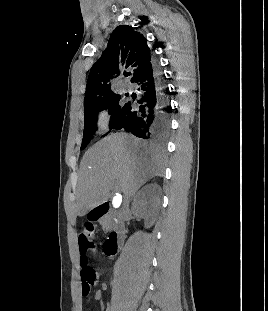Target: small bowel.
Instances as JSON below:
<instances>
[{
	"label": "small bowel",
	"mask_w": 268,
	"mask_h": 311,
	"mask_svg": "<svg viewBox=\"0 0 268 311\" xmlns=\"http://www.w3.org/2000/svg\"><path fill=\"white\" fill-rule=\"evenodd\" d=\"M102 288L105 289V288H106V285H105V284H102ZM82 294L85 296V294L83 293V287H82ZM102 297H103V293H102L101 290H99V291H97V292L95 293V299H96V300H100V299H102Z\"/></svg>",
	"instance_id": "small-bowel-1"
}]
</instances>
